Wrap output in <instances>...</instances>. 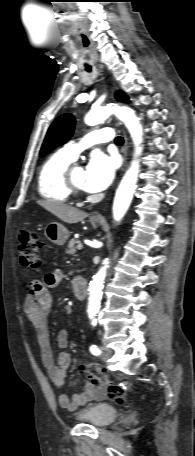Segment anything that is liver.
<instances>
[{"instance_id":"obj_1","label":"liver","mask_w":195,"mask_h":456,"mask_svg":"<svg viewBox=\"0 0 195 456\" xmlns=\"http://www.w3.org/2000/svg\"><path fill=\"white\" fill-rule=\"evenodd\" d=\"M37 204L42 206L47 211L51 212L63 222L73 224L85 219L88 214L80 209L66 205L57 201H37Z\"/></svg>"}]
</instances>
